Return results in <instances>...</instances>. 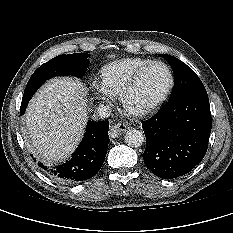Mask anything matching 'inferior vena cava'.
I'll return each instance as SVG.
<instances>
[{
	"instance_id": "602c4592",
	"label": "inferior vena cava",
	"mask_w": 233,
	"mask_h": 233,
	"mask_svg": "<svg viewBox=\"0 0 233 233\" xmlns=\"http://www.w3.org/2000/svg\"><path fill=\"white\" fill-rule=\"evenodd\" d=\"M97 111H98L100 118H102V119L109 117L111 114L110 107L106 106L104 104H100Z\"/></svg>"
}]
</instances>
